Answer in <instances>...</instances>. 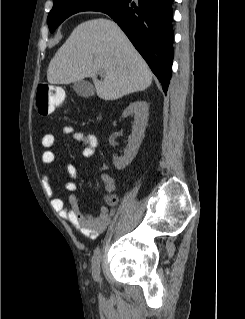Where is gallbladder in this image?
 I'll return each mask as SVG.
<instances>
[{"label":"gallbladder","mask_w":245,"mask_h":319,"mask_svg":"<svg viewBox=\"0 0 245 319\" xmlns=\"http://www.w3.org/2000/svg\"><path fill=\"white\" fill-rule=\"evenodd\" d=\"M73 89L77 93V95L81 97H91L94 95V87L88 81L81 80L73 83Z\"/></svg>","instance_id":"obj_1"}]
</instances>
